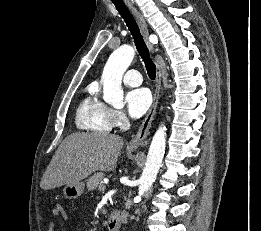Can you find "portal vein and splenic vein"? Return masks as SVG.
I'll list each match as a JSON object with an SVG mask.
<instances>
[{"label":"portal vein and splenic vein","instance_id":"obj_1","mask_svg":"<svg viewBox=\"0 0 261 231\" xmlns=\"http://www.w3.org/2000/svg\"><path fill=\"white\" fill-rule=\"evenodd\" d=\"M105 189H106V186L104 184L99 187V190H101V191H104Z\"/></svg>","mask_w":261,"mask_h":231}]
</instances>
